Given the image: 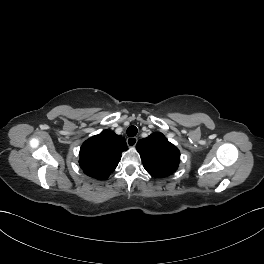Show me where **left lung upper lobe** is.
<instances>
[{
    "label": "left lung upper lobe",
    "instance_id": "1",
    "mask_svg": "<svg viewBox=\"0 0 264 264\" xmlns=\"http://www.w3.org/2000/svg\"><path fill=\"white\" fill-rule=\"evenodd\" d=\"M136 149L140 153L144 168L154 177H166L178 168L180 152L160 132L139 140Z\"/></svg>",
    "mask_w": 264,
    "mask_h": 264
}]
</instances>
